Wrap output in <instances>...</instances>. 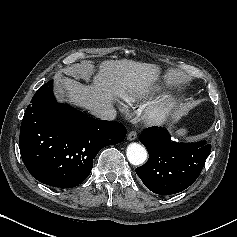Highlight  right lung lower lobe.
<instances>
[{
  "instance_id": "1",
  "label": "right lung lower lobe",
  "mask_w": 237,
  "mask_h": 237,
  "mask_svg": "<svg viewBox=\"0 0 237 237\" xmlns=\"http://www.w3.org/2000/svg\"><path fill=\"white\" fill-rule=\"evenodd\" d=\"M126 132L120 123L97 120L58 104L49 81L36 91L24 113L20 154L38 181L72 188L89 176L98 152L122 142Z\"/></svg>"
}]
</instances>
